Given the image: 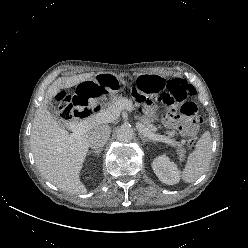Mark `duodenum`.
I'll list each match as a JSON object with an SVG mask.
<instances>
[{
	"label": "duodenum",
	"instance_id": "obj_1",
	"mask_svg": "<svg viewBox=\"0 0 248 248\" xmlns=\"http://www.w3.org/2000/svg\"><path fill=\"white\" fill-rule=\"evenodd\" d=\"M80 109H81V112H82V114H81L82 118L87 117L91 113V110L85 109L83 106L80 107Z\"/></svg>",
	"mask_w": 248,
	"mask_h": 248
}]
</instances>
